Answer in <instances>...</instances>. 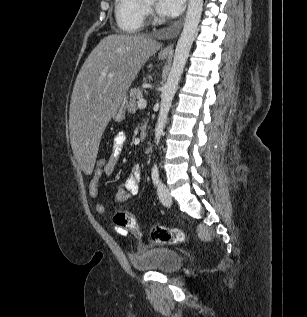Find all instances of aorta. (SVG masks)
Listing matches in <instances>:
<instances>
[{
  "label": "aorta",
  "mask_w": 307,
  "mask_h": 317,
  "mask_svg": "<svg viewBox=\"0 0 307 317\" xmlns=\"http://www.w3.org/2000/svg\"><path fill=\"white\" fill-rule=\"evenodd\" d=\"M203 10V0H189L184 28L178 40L172 67L161 93V105L155 127V143L159 144L171 108L172 100L178 89L186 61L192 47Z\"/></svg>",
  "instance_id": "762f6f07"
}]
</instances>
